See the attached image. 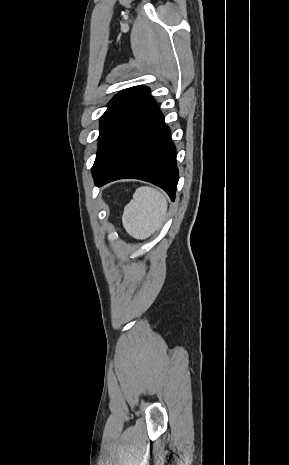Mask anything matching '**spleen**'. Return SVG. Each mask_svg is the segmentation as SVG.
<instances>
[{"label":"spleen","mask_w":289,"mask_h":465,"mask_svg":"<svg viewBox=\"0 0 289 465\" xmlns=\"http://www.w3.org/2000/svg\"><path fill=\"white\" fill-rule=\"evenodd\" d=\"M166 212L167 200L164 194L151 187H139L124 208L123 226L130 236L143 240L160 228Z\"/></svg>","instance_id":"spleen-1"}]
</instances>
